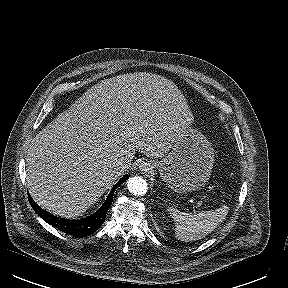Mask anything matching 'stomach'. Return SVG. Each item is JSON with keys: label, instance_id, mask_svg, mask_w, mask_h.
<instances>
[{"label": "stomach", "instance_id": "0dacf381", "mask_svg": "<svg viewBox=\"0 0 288 288\" xmlns=\"http://www.w3.org/2000/svg\"><path fill=\"white\" fill-rule=\"evenodd\" d=\"M214 163L211 143L200 132L189 129L171 148L165 158L151 161L160 178L176 192H190L208 181Z\"/></svg>", "mask_w": 288, "mask_h": 288}]
</instances>
